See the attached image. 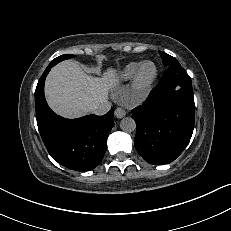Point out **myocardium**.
<instances>
[{"mask_svg":"<svg viewBox=\"0 0 231 231\" xmlns=\"http://www.w3.org/2000/svg\"><path fill=\"white\" fill-rule=\"evenodd\" d=\"M148 64L153 65L154 72L150 78L144 79L142 77V72H143L144 67ZM157 77H158V68L153 62L146 61V62L142 63L138 67V69L134 75V78H133V89H134L135 93L138 96H143L152 87V85L156 81Z\"/></svg>","mask_w":231,"mask_h":231,"instance_id":"obj_1","label":"myocardium"}]
</instances>
